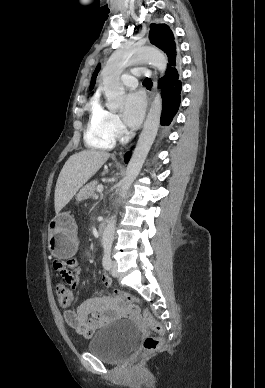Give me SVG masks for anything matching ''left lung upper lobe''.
I'll use <instances>...</instances> for the list:
<instances>
[{"mask_svg": "<svg viewBox=\"0 0 265 388\" xmlns=\"http://www.w3.org/2000/svg\"><path fill=\"white\" fill-rule=\"evenodd\" d=\"M150 42L167 54L169 62L167 69L170 67H176L179 64L176 55L174 36L169 26L166 24H151Z\"/></svg>", "mask_w": 265, "mask_h": 388, "instance_id": "obj_1", "label": "left lung upper lobe"}]
</instances>
